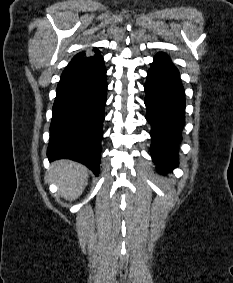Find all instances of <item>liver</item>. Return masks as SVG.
Instances as JSON below:
<instances>
[{"label": "liver", "instance_id": "6515ba94", "mask_svg": "<svg viewBox=\"0 0 233 283\" xmlns=\"http://www.w3.org/2000/svg\"><path fill=\"white\" fill-rule=\"evenodd\" d=\"M49 178L58 185L62 197L75 200L87 185L88 173L84 165L63 159L52 163Z\"/></svg>", "mask_w": 233, "mask_h": 283}]
</instances>
